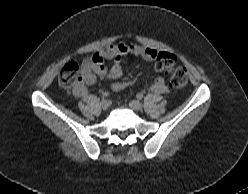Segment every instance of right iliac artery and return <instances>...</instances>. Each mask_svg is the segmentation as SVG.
<instances>
[{
	"label": "right iliac artery",
	"mask_w": 248,
	"mask_h": 194,
	"mask_svg": "<svg viewBox=\"0 0 248 194\" xmlns=\"http://www.w3.org/2000/svg\"><path fill=\"white\" fill-rule=\"evenodd\" d=\"M107 96H108V93H107V92H104V93L102 94L103 100H104V98H106Z\"/></svg>",
	"instance_id": "1"
}]
</instances>
